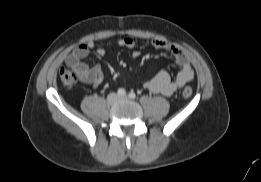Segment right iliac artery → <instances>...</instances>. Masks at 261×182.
Wrapping results in <instances>:
<instances>
[{
    "mask_svg": "<svg viewBox=\"0 0 261 182\" xmlns=\"http://www.w3.org/2000/svg\"><path fill=\"white\" fill-rule=\"evenodd\" d=\"M117 94H118V96L122 97V96L126 95V91H125V89L120 88V89H118Z\"/></svg>",
    "mask_w": 261,
    "mask_h": 182,
    "instance_id": "right-iliac-artery-1",
    "label": "right iliac artery"
}]
</instances>
